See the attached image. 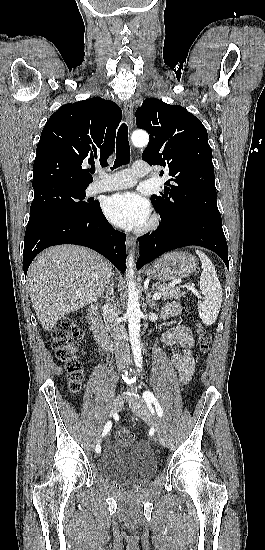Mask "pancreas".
Returning <instances> with one entry per match:
<instances>
[{
    "label": "pancreas",
    "instance_id": "pancreas-1",
    "mask_svg": "<svg viewBox=\"0 0 265 550\" xmlns=\"http://www.w3.org/2000/svg\"><path fill=\"white\" fill-rule=\"evenodd\" d=\"M152 289L162 294V299H179L184 296V293L179 288H175L166 284H153Z\"/></svg>",
    "mask_w": 265,
    "mask_h": 550
}]
</instances>
